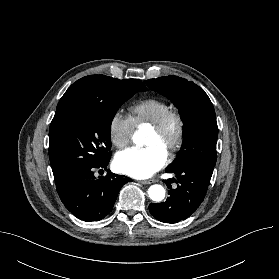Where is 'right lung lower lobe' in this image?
Masks as SVG:
<instances>
[{"label": "right lung lower lobe", "mask_w": 279, "mask_h": 279, "mask_svg": "<svg viewBox=\"0 0 279 279\" xmlns=\"http://www.w3.org/2000/svg\"><path fill=\"white\" fill-rule=\"evenodd\" d=\"M109 161L85 166L56 181V189L65 207L77 218L99 221L108 215L121 187L132 180L109 172L96 178L94 172L107 169Z\"/></svg>", "instance_id": "98d812e1"}]
</instances>
